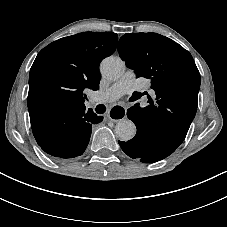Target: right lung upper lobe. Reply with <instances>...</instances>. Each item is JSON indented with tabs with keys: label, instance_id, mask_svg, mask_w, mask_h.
<instances>
[{
	"label": "right lung upper lobe",
	"instance_id": "cb5924a9",
	"mask_svg": "<svg viewBox=\"0 0 227 227\" xmlns=\"http://www.w3.org/2000/svg\"><path fill=\"white\" fill-rule=\"evenodd\" d=\"M117 42L113 32H83L43 48L30 70L28 109L42 98L62 108L85 107V91L99 88V64L114 53Z\"/></svg>",
	"mask_w": 227,
	"mask_h": 227
}]
</instances>
